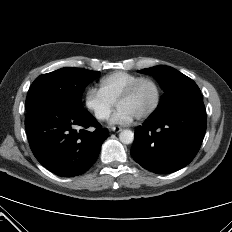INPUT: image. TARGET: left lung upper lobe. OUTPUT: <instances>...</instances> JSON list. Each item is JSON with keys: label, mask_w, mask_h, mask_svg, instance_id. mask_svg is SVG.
I'll return each mask as SVG.
<instances>
[{"label": "left lung upper lobe", "mask_w": 232, "mask_h": 232, "mask_svg": "<svg viewBox=\"0 0 232 232\" xmlns=\"http://www.w3.org/2000/svg\"><path fill=\"white\" fill-rule=\"evenodd\" d=\"M139 72L155 77L165 93L154 116L161 115L186 99L201 95L200 89L191 78L170 66L158 65Z\"/></svg>", "instance_id": "5c2ea615"}]
</instances>
